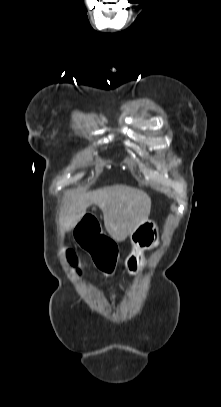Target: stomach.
<instances>
[{
  "label": "stomach",
  "mask_w": 221,
  "mask_h": 407,
  "mask_svg": "<svg viewBox=\"0 0 221 407\" xmlns=\"http://www.w3.org/2000/svg\"><path fill=\"white\" fill-rule=\"evenodd\" d=\"M132 251L125 260V266L131 274L140 270L144 263V251L153 249L159 244V230L155 223L146 220L130 235Z\"/></svg>",
  "instance_id": "1"
}]
</instances>
